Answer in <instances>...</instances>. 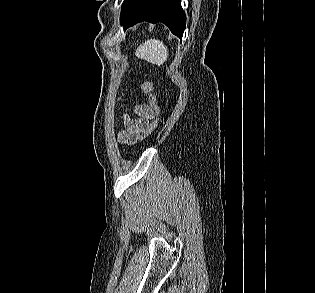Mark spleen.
Returning a JSON list of instances; mask_svg holds the SVG:
<instances>
[{
  "instance_id": "1",
  "label": "spleen",
  "mask_w": 315,
  "mask_h": 293,
  "mask_svg": "<svg viewBox=\"0 0 315 293\" xmlns=\"http://www.w3.org/2000/svg\"><path fill=\"white\" fill-rule=\"evenodd\" d=\"M135 54L140 59L160 66L167 61L168 49L162 41L150 39L141 44Z\"/></svg>"
}]
</instances>
